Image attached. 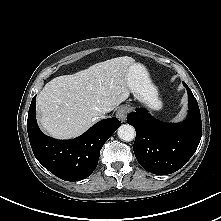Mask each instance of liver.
Segmentation results:
<instances>
[{"label": "liver", "mask_w": 221, "mask_h": 221, "mask_svg": "<svg viewBox=\"0 0 221 221\" xmlns=\"http://www.w3.org/2000/svg\"><path fill=\"white\" fill-rule=\"evenodd\" d=\"M132 64L131 57H117L49 81L37 96L42 129L58 139L83 134L129 97L126 75Z\"/></svg>", "instance_id": "liver-1"}]
</instances>
